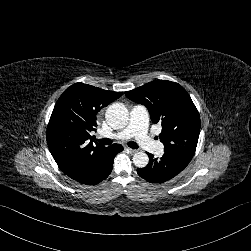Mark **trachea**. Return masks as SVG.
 Returning a JSON list of instances; mask_svg holds the SVG:
<instances>
[{
  "instance_id": "obj_1",
  "label": "trachea",
  "mask_w": 251,
  "mask_h": 251,
  "mask_svg": "<svg viewBox=\"0 0 251 251\" xmlns=\"http://www.w3.org/2000/svg\"><path fill=\"white\" fill-rule=\"evenodd\" d=\"M98 142L101 144H104V145H111L112 144V140H110L109 138L99 139ZM128 146L133 149L139 148L138 144L135 142H129Z\"/></svg>"
}]
</instances>
